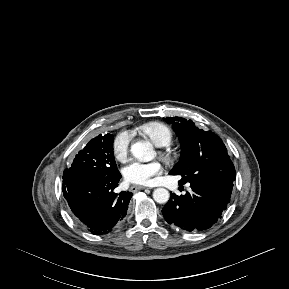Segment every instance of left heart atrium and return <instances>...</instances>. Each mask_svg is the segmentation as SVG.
Masks as SVG:
<instances>
[{
	"label": "left heart atrium",
	"mask_w": 289,
	"mask_h": 289,
	"mask_svg": "<svg viewBox=\"0 0 289 289\" xmlns=\"http://www.w3.org/2000/svg\"><path fill=\"white\" fill-rule=\"evenodd\" d=\"M162 171L163 167L158 161L132 160L123 168V176L128 183L150 185L154 177L160 175Z\"/></svg>",
	"instance_id": "left-heart-atrium-1"
}]
</instances>
